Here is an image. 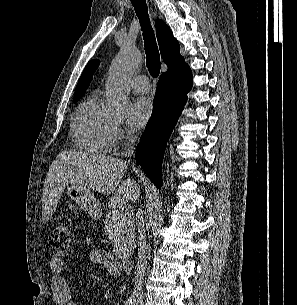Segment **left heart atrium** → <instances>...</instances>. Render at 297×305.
Listing matches in <instances>:
<instances>
[{
    "label": "left heart atrium",
    "mask_w": 297,
    "mask_h": 305,
    "mask_svg": "<svg viewBox=\"0 0 297 305\" xmlns=\"http://www.w3.org/2000/svg\"><path fill=\"white\" fill-rule=\"evenodd\" d=\"M152 113V102L146 97H138L129 107V124L134 129H141L148 123Z\"/></svg>",
    "instance_id": "left-heart-atrium-1"
}]
</instances>
